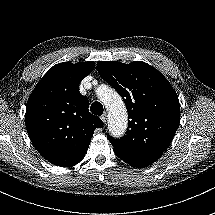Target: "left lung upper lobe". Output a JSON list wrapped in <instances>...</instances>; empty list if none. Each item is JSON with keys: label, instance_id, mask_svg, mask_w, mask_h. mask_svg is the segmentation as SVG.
Listing matches in <instances>:
<instances>
[{"label": "left lung upper lobe", "instance_id": "1", "mask_svg": "<svg viewBox=\"0 0 215 215\" xmlns=\"http://www.w3.org/2000/svg\"><path fill=\"white\" fill-rule=\"evenodd\" d=\"M101 78L122 97L130 119L126 135L108 139L127 154H162L180 122L178 96L166 78L151 65L103 61L97 63Z\"/></svg>", "mask_w": 215, "mask_h": 215}]
</instances>
